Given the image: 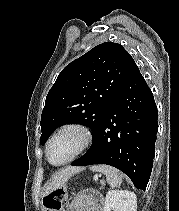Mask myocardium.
Listing matches in <instances>:
<instances>
[{
    "label": "myocardium",
    "instance_id": "myocardium-1",
    "mask_svg": "<svg viewBox=\"0 0 179 211\" xmlns=\"http://www.w3.org/2000/svg\"><path fill=\"white\" fill-rule=\"evenodd\" d=\"M68 131H73L76 132L79 135L80 141H79V145L77 147V149L75 150V152L64 162L55 164L52 163L49 159V147L52 143V141L59 136L60 134L64 133V132H68ZM92 142V134H91V130L89 129L88 126H86L83 123L80 122H69L66 123L62 126H60L58 129H56L54 131V133L49 137L46 146H45V157L47 162L52 165V166H56V167H60V166H64L67 165L69 163H71L73 160H75L78 156H80L85 150L88 149V147L91 145Z\"/></svg>",
    "mask_w": 179,
    "mask_h": 211
}]
</instances>
